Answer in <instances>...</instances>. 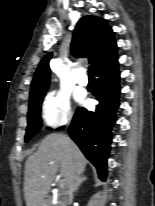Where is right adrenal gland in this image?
Here are the masks:
<instances>
[{
    "mask_svg": "<svg viewBox=\"0 0 155 206\" xmlns=\"http://www.w3.org/2000/svg\"><path fill=\"white\" fill-rule=\"evenodd\" d=\"M86 180H87V177L83 175V172L77 173L74 192H76L78 190V187Z\"/></svg>",
    "mask_w": 155,
    "mask_h": 206,
    "instance_id": "1",
    "label": "right adrenal gland"
}]
</instances>
